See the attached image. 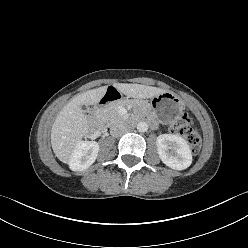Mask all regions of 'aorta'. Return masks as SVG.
I'll return each instance as SVG.
<instances>
[{
    "label": "aorta",
    "mask_w": 248,
    "mask_h": 248,
    "mask_svg": "<svg viewBox=\"0 0 248 248\" xmlns=\"http://www.w3.org/2000/svg\"><path fill=\"white\" fill-rule=\"evenodd\" d=\"M137 130L139 132H146L148 130V124L146 122H139L137 124Z\"/></svg>",
    "instance_id": "aorta-1"
}]
</instances>
